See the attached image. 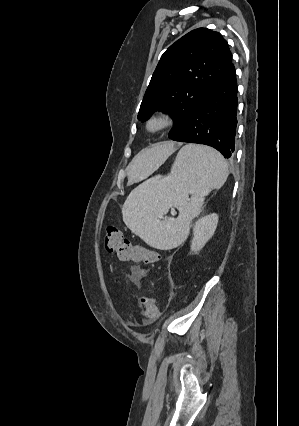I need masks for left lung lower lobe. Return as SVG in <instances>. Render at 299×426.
<instances>
[{"mask_svg":"<svg viewBox=\"0 0 299 426\" xmlns=\"http://www.w3.org/2000/svg\"><path fill=\"white\" fill-rule=\"evenodd\" d=\"M237 82L231 66L198 104L185 126L171 139L214 147L225 158L233 155L237 125Z\"/></svg>","mask_w":299,"mask_h":426,"instance_id":"obj_1","label":"left lung lower lobe"}]
</instances>
